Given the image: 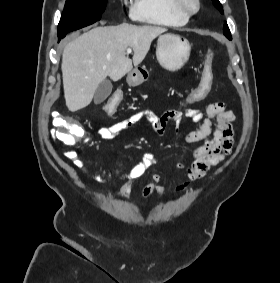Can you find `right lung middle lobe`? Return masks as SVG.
I'll list each match as a JSON object with an SVG mask.
<instances>
[{
    "instance_id": "right-lung-middle-lobe-1",
    "label": "right lung middle lobe",
    "mask_w": 280,
    "mask_h": 283,
    "mask_svg": "<svg viewBox=\"0 0 280 283\" xmlns=\"http://www.w3.org/2000/svg\"><path fill=\"white\" fill-rule=\"evenodd\" d=\"M107 0H66L58 24V38L100 20Z\"/></svg>"
}]
</instances>
